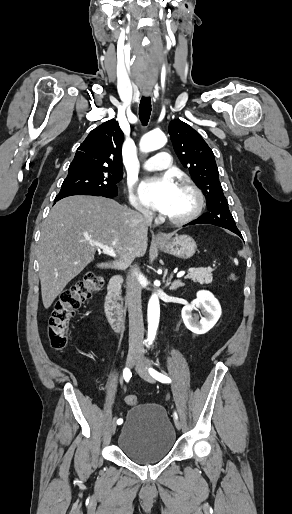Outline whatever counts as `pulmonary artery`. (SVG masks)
<instances>
[{
    "instance_id": "obj_1",
    "label": "pulmonary artery",
    "mask_w": 292,
    "mask_h": 514,
    "mask_svg": "<svg viewBox=\"0 0 292 514\" xmlns=\"http://www.w3.org/2000/svg\"><path fill=\"white\" fill-rule=\"evenodd\" d=\"M146 164V169L150 172H169L173 165V158L169 151H155Z\"/></svg>"
}]
</instances>
